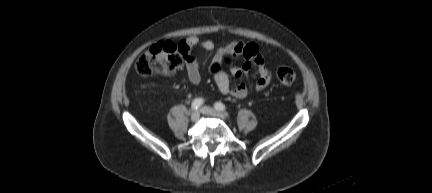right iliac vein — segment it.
Wrapping results in <instances>:
<instances>
[{"instance_id":"63e3f726","label":"right iliac vein","mask_w":432,"mask_h":193,"mask_svg":"<svg viewBox=\"0 0 432 193\" xmlns=\"http://www.w3.org/2000/svg\"><path fill=\"white\" fill-rule=\"evenodd\" d=\"M190 118L192 122H197L200 118L199 111H193Z\"/></svg>"}]
</instances>
